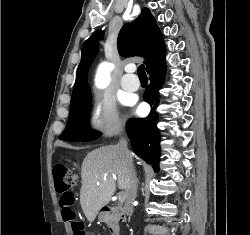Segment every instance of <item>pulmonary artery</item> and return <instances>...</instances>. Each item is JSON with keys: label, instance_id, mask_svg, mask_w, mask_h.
Wrapping results in <instances>:
<instances>
[{"label": "pulmonary artery", "instance_id": "e3ab8cb5", "mask_svg": "<svg viewBox=\"0 0 250 235\" xmlns=\"http://www.w3.org/2000/svg\"><path fill=\"white\" fill-rule=\"evenodd\" d=\"M140 81L132 74V67L126 68V74L124 75L121 86L128 92H134L139 88Z\"/></svg>", "mask_w": 250, "mask_h": 235}]
</instances>
